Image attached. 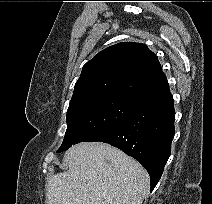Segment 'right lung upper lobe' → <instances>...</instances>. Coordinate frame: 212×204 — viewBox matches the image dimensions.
<instances>
[{
    "mask_svg": "<svg viewBox=\"0 0 212 204\" xmlns=\"http://www.w3.org/2000/svg\"><path fill=\"white\" fill-rule=\"evenodd\" d=\"M168 90L155 54L144 44L122 42L102 50L83 66L69 106L104 97L142 104Z\"/></svg>",
    "mask_w": 212,
    "mask_h": 204,
    "instance_id": "obj_1",
    "label": "right lung upper lobe"
}]
</instances>
